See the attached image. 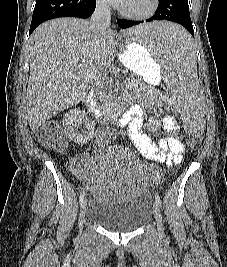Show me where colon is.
<instances>
[{
    "mask_svg": "<svg viewBox=\"0 0 227 267\" xmlns=\"http://www.w3.org/2000/svg\"><path fill=\"white\" fill-rule=\"evenodd\" d=\"M165 112L167 116H178L175 104H165ZM39 141L47 148L58 151L65 146V136L58 127H45L38 132ZM199 140L187 139L184 142L183 148L186 151V158H193L199 154Z\"/></svg>",
    "mask_w": 227,
    "mask_h": 267,
    "instance_id": "5ec220e1",
    "label": "colon"
}]
</instances>
